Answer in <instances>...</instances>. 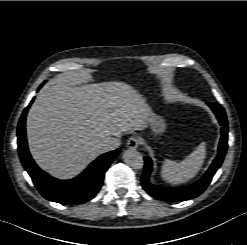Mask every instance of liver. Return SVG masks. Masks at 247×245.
Returning a JSON list of instances; mask_svg holds the SVG:
<instances>
[{
	"label": "liver",
	"instance_id": "obj_1",
	"mask_svg": "<svg viewBox=\"0 0 247 245\" xmlns=\"http://www.w3.org/2000/svg\"><path fill=\"white\" fill-rule=\"evenodd\" d=\"M148 108L123 82L76 86L57 80L32 104L26 131L30 153L41 169L58 179L80 174L104 153L102 143L144 126Z\"/></svg>",
	"mask_w": 247,
	"mask_h": 245
}]
</instances>
